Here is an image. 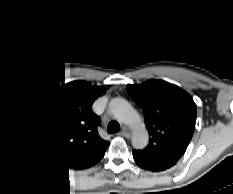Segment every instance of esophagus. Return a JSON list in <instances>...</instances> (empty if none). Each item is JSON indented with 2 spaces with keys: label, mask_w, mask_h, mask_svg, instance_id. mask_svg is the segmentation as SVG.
Wrapping results in <instances>:
<instances>
[{
  "label": "esophagus",
  "mask_w": 233,
  "mask_h": 194,
  "mask_svg": "<svg viewBox=\"0 0 233 194\" xmlns=\"http://www.w3.org/2000/svg\"><path fill=\"white\" fill-rule=\"evenodd\" d=\"M122 135H124L126 138H130V133L129 132H127V130H124L123 132H122Z\"/></svg>",
  "instance_id": "esophagus-1"
}]
</instances>
